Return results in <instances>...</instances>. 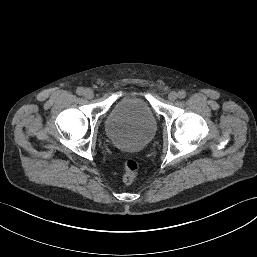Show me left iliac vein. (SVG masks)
Instances as JSON below:
<instances>
[{
	"instance_id": "obj_1",
	"label": "left iliac vein",
	"mask_w": 257,
	"mask_h": 257,
	"mask_svg": "<svg viewBox=\"0 0 257 257\" xmlns=\"http://www.w3.org/2000/svg\"><path fill=\"white\" fill-rule=\"evenodd\" d=\"M178 98V94L175 92V91H171L169 94H168V99L170 101H175L176 99Z\"/></svg>"
}]
</instances>
